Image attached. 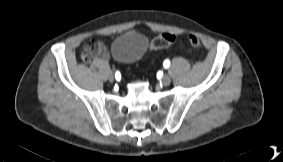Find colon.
<instances>
[{
    "label": "colon",
    "mask_w": 283,
    "mask_h": 162,
    "mask_svg": "<svg viewBox=\"0 0 283 162\" xmlns=\"http://www.w3.org/2000/svg\"><path fill=\"white\" fill-rule=\"evenodd\" d=\"M175 41V36L171 33H162L158 36H156L152 42H151V47L154 50H160L163 48H167L170 45H172ZM188 43L193 49H198L201 45L199 39L195 36L190 34L188 36ZM92 55L84 52L82 55V60L85 62L90 61Z\"/></svg>",
    "instance_id": "obj_1"
}]
</instances>
